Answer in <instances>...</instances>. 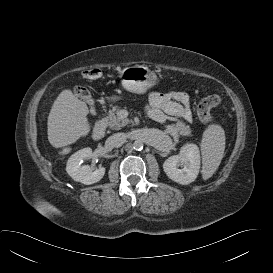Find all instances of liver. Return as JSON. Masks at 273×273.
Returning <instances> with one entry per match:
<instances>
[{"label":"liver","mask_w":273,"mask_h":273,"mask_svg":"<svg viewBox=\"0 0 273 273\" xmlns=\"http://www.w3.org/2000/svg\"><path fill=\"white\" fill-rule=\"evenodd\" d=\"M89 113L85 102L70 90H64L54 101L48 116V141L55 148L75 143L90 131Z\"/></svg>","instance_id":"obj_1"}]
</instances>
